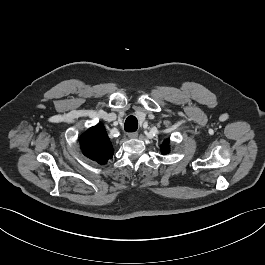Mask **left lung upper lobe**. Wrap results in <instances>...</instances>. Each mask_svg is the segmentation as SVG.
<instances>
[{
  "mask_svg": "<svg viewBox=\"0 0 265 265\" xmlns=\"http://www.w3.org/2000/svg\"><path fill=\"white\" fill-rule=\"evenodd\" d=\"M161 152L162 154H166L169 152V143L168 141H165L162 145H161Z\"/></svg>",
  "mask_w": 265,
  "mask_h": 265,
  "instance_id": "5c2ea615",
  "label": "left lung upper lobe"
}]
</instances>
